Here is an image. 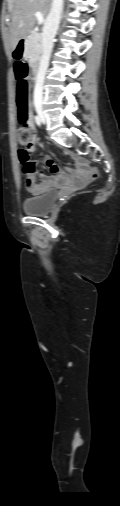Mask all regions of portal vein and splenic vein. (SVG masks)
<instances>
[{
    "label": "portal vein and splenic vein",
    "instance_id": "obj_1",
    "mask_svg": "<svg viewBox=\"0 0 120 506\" xmlns=\"http://www.w3.org/2000/svg\"><path fill=\"white\" fill-rule=\"evenodd\" d=\"M35 16L37 18V22H38L39 25L44 22V16H43V14L41 12H36Z\"/></svg>",
    "mask_w": 120,
    "mask_h": 506
}]
</instances>
